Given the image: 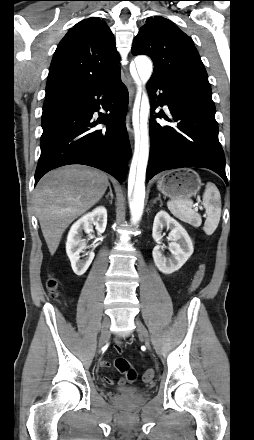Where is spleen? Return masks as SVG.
<instances>
[{
  "instance_id": "3e777b00",
  "label": "spleen",
  "mask_w": 254,
  "mask_h": 440,
  "mask_svg": "<svg viewBox=\"0 0 254 440\" xmlns=\"http://www.w3.org/2000/svg\"><path fill=\"white\" fill-rule=\"evenodd\" d=\"M167 205L170 212L179 220L195 227L201 225V216L192 209V200L174 199L169 201ZM203 206L207 215L203 230L207 235H212L216 230L221 217V196L214 183L208 182L206 185L203 194Z\"/></svg>"
}]
</instances>
